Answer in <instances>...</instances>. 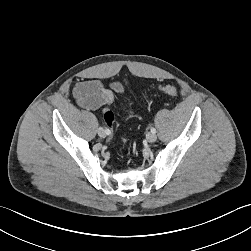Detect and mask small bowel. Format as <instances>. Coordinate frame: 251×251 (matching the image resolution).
<instances>
[{
    "instance_id": "1",
    "label": "small bowel",
    "mask_w": 251,
    "mask_h": 251,
    "mask_svg": "<svg viewBox=\"0 0 251 251\" xmlns=\"http://www.w3.org/2000/svg\"><path fill=\"white\" fill-rule=\"evenodd\" d=\"M126 87L127 82H114L105 88L99 80H86L74 86L73 95L80 107L94 111L112 105L115 97L123 94Z\"/></svg>"
}]
</instances>
